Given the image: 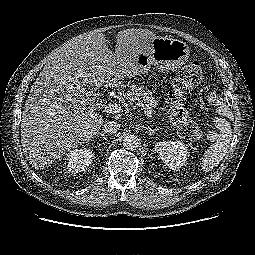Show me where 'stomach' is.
<instances>
[{
  "instance_id": "0dacf381",
  "label": "stomach",
  "mask_w": 255,
  "mask_h": 255,
  "mask_svg": "<svg viewBox=\"0 0 255 255\" xmlns=\"http://www.w3.org/2000/svg\"><path fill=\"white\" fill-rule=\"evenodd\" d=\"M189 55L190 48L185 42L168 36H156L151 41L149 49L137 55L134 69L124 78H133L145 74L151 65L156 66L161 71H174L187 61Z\"/></svg>"
}]
</instances>
